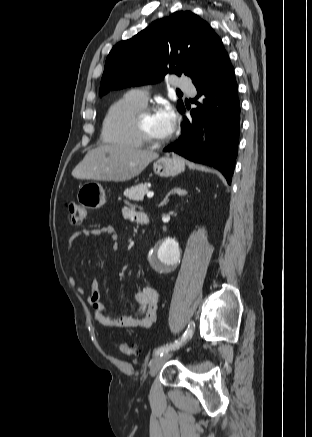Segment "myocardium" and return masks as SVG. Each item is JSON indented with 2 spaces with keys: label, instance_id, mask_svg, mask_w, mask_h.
<instances>
[{
  "label": "myocardium",
  "instance_id": "1",
  "mask_svg": "<svg viewBox=\"0 0 312 437\" xmlns=\"http://www.w3.org/2000/svg\"><path fill=\"white\" fill-rule=\"evenodd\" d=\"M153 109L149 106L144 105L139 110L136 111V113L133 116V128L134 131L139 138L140 142L144 145L148 146H161L165 145L170 141V137H167L163 140H155L151 138L146 131L144 130L142 126V119L144 116L152 114Z\"/></svg>",
  "mask_w": 312,
  "mask_h": 437
}]
</instances>
